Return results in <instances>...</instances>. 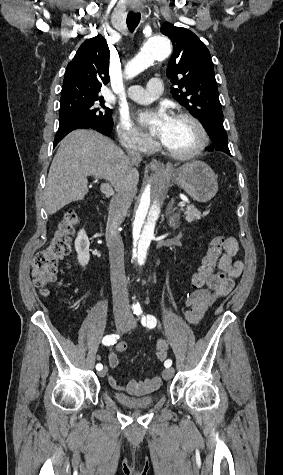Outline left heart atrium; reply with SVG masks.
<instances>
[{
  "label": "left heart atrium",
  "mask_w": 283,
  "mask_h": 475,
  "mask_svg": "<svg viewBox=\"0 0 283 475\" xmlns=\"http://www.w3.org/2000/svg\"><path fill=\"white\" fill-rule=\"evenodd\" d=\"M171 121V116L164 108L156 111H146L141 113L139 116V122L143 126L154 128L160 139H165L167 137V130Z\"/></svg>",
  "instance_id": "left-heart-atrium-1"
}]
</instances>
